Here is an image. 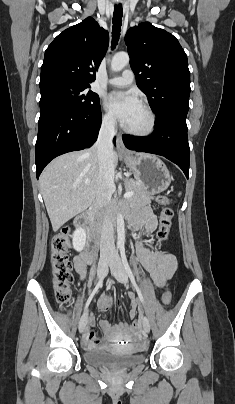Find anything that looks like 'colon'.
I'll return each mask as SVG.
<instances>
[{
	"instance_id": "colon-1",
	"label": "colon",
	"mask_w": 235,
	"mask_h": 404,
	"mask_svg": "<svg viewBox=\"0 0 235 404\" xmlns=\"http://www.w3.org/2000/svg\"><path fill=\"white\" fill-rule=\"evenodd\" d=\"M156 201L162 208L157 237L159 240L164 241L169 235L174 212L170 207V199L168 197L161 195L157 197ZM50 248L55 299L61 307H65L70 303L73 295L71 288L73 275L68 257V251L71 248L70 229L63 228L60 233L55 235L51 239ZM171 297V289L168 287L162 296V303L168 305ZM133 326L137 327L138 322L135 321Z\"/></svg>"
}]
</instances>
